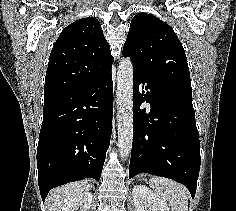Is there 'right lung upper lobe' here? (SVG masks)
I'll return each mask as SVG.
<instances>
[{"mask_svg": "<svg viewBox=\"0 0 236 211\" xmlns=\"http://www.w3.org/2000/svg\"><path fill=\"white\" fill-rule=\"evenodd\" d=\"M113 60L97 19L73 22L53 45L44 95L82 88L100 80L111 72Z\"/></svg>", "mask_w": 236, "mask_h": 211, "instance_id": "1", "label": "right lung upper lobe"}]
</instances>
